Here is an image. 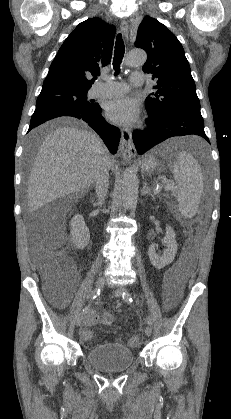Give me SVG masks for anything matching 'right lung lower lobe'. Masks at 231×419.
Wrapping results in <instances>:
<instances>
[{"label": "right lung lower lobe", "instance_id": "right-lung-lower-lobe-1", "mask_svg": "<svg viewBox=\"0 0 231 419\" xmlns=\"http://www.w3.org/2000/svg\"><path fill=\"white\" fill-rule=\"evenodd\" d=\"M61 116H71L84 120L99 134L111 153L115 154L117 152L121 136L120 130L105 121L101 115V108L97 104L91 110L64 106H36L28 132L47 120Z\"/></svg>", "mask_w": 231, "mask_h": 419}]
</instances>
